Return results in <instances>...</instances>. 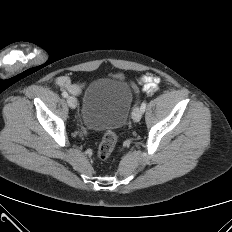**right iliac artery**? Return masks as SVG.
I'll list each match as a JSON object with an SVG mask.
<instances>
[{"label":"right iliac artery","instance_id":"obj_1","mask_svg":"<svg viewBox=\"0 0 232 232\" xmlns=\"http://www.w3.org/2000/svg\"><path fill=\"white\" fill-rule=\"evenodd\" d=\"M62 96H63L64 98H67V97H68V93H67L66 91L62 92Z\"/></svg>","mask_w":232,"mask_h":232}]
</instances>
